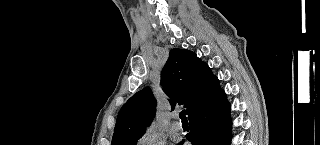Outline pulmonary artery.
Segmentation results:
<instances>
[{"instance_id": "pulmonary-artery-1", "label": "pulmonary artery", "mask_w": 320, "mask_h": 145, "mask_svg": "<svg viewBox=\"0 0 320 145\" xmlns=\"http://www.w3.org/2000/svg\"><path fill=\"white\" fill-rule=\"evenodd\" d=\"M173 118L176 119L177 118V114L173 115ZM171 129L175 132L181 131L182 130V124L179 121L174 120L171 123Z\"/></svg>"}]
</instances>
